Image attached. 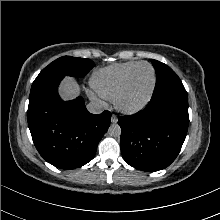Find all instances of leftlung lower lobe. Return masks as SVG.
<instances>
[{
	"label": "left lung lower lobe",
	"instance_id": "0a47b994",
	"mask_svg": "<svg viewBox=\"0 0 220 220\" xmlns=\"http://www.w3.org/2000/svg\"><path fill=\"white\" fill-rule=\"evenodd\" d=\"M118 123L124 160L142 171H158L179 154L188 129V104L151 100L142 112L120 117Z\"/></svg>",
	"mask_w": 220,
	"mask_h": 220
}]
</instances>
